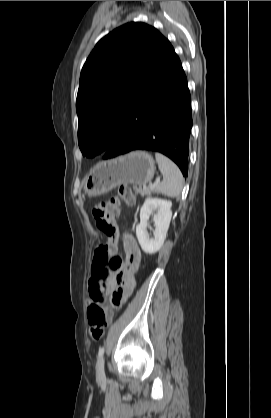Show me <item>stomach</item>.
<instances>
[{
  "label": "stomach",
  "instance_id": "stomach-1",
  "mask_svg": "<svg viewBox=\"0 0 271 418\" xmlns=\"http://www.w3.org/2000/svg\"><path fill=\"white\" fill-rule=\"evenodd\" d=\"M154 172L155 162L149 153L131 152L97 164L85 179V193L95 197L121 184L145 185Z\"/></svg>",
  "mask_w": 271,
  "mask_h": 418
}]
</instances>
